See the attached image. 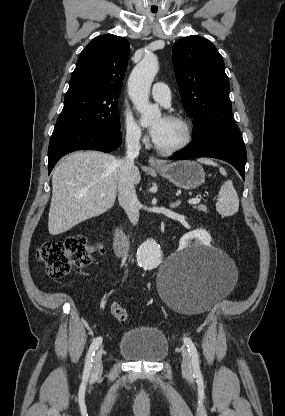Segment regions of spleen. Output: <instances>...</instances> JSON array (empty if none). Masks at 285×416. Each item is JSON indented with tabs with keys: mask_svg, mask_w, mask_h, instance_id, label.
<instances>
[{
	"mask_svg": "<svg viewBox=\"0 0 285 416\" xmlns=\"http://www.w3.org/2000/svg\"><path fill=\"white\" fill-rule=\"evenodd\" d=\"M197 162L206 164V166H218V164H215L211 158H199ZM219 172L222 176H227L224 168H219ZM216 210L218 214H221V216H234V214L238 212L239 200L231 180H227V182H224L223 186H221L219 192V202L216 204Z\"/></svg>",
	"mask_w": 285,
	"mask_h": 416,
	"instance_id": "3e777b00",
	"label": "spleen"
}]
</instances>
